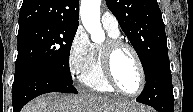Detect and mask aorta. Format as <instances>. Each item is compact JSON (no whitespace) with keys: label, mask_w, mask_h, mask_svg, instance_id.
<instances>
[{"label":"aorta","mask_w":193,"mask_h":112,"mask_svg":"<svg viewBox=\"0 0 193 112\" xmlns=\"http://www.w3.org/2000/svg\"><path fill=\"white\" fill-rule=\"evenodd\" d=\"M101 0H81L80 17L83 26L90 34L93 42L104 41L105 34L100 23Z\"/></svg>","instance_id":"aorta-1"}]
</instances>
